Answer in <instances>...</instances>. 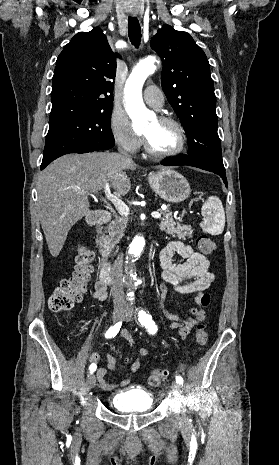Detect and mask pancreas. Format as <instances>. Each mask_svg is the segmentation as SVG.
I'll return each mask as SVG.
<instances>
[{"label": "pancreas", "mask_w": 279, "mask_h": 465, "mask_svg": "<svg viewBox=\"0 0 279 465\" xmlns=\"http://www.w3.org/2000/svg\"><path fill=\"white\" fill-rule=\"evenodd\" d=\"M163 218L158 224L161 231H165L167 234L177 237L179 239H185L191 237L193 229L189 225H180L175 223L172 218V212L170 210L162 211ZM128 219L124 217H116L106 228V235L102 236L104 246L108 249L114 248L124 236L125 228L127 227Z\"/></svg>", "instance_id": "cf45deb5"}]
</instances>
